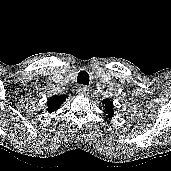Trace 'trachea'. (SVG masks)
<instances>
[{"label":"trachea","instance_id":"obj_1","mask_svg":"<svg viewBox=\"0 0 171 171\" xmlns=\"http://www.w3.org/2000/svg\"><path fill=\"white\" fill-rule=\"evenodd\" d=\"M77 82L83 85H89V74L86 71L78 73Z\"/></svg>","mask_w":171,"mask_h":171}]
</instances>
